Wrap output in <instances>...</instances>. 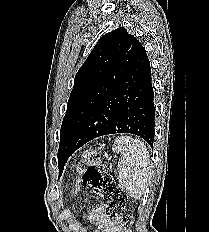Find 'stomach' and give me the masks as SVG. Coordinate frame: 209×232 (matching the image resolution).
I'll list each match as a JSON object with an SVG mask.
<instances>
[{"label":"stomach","mask_w":209,"mask_h":232,"mask_svg":"<svg viewBox=\"0 0 209 232\" xmlns=\"http://www.w3.org/2000/svg\"><path fill=\"white\" fill-rule=\"evenodd\" d=\"M94 154H95L94 152H87V153H84V154H83V160H82V162H83V163H87V164L92 163Z\"/></svg>","instance_id":"1"}]
</instances>
